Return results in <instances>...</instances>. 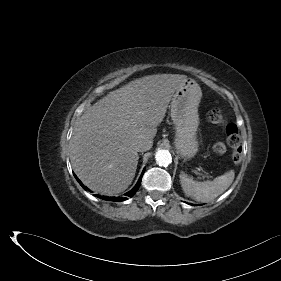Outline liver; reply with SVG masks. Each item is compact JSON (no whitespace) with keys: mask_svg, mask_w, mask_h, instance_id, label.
I'll use <instances>...</instances> for the list:
<instances>
[{"mask_svg":"<svg viewBox=\"0 0 281 281\" xmlns=\"http://www.w3.org/2000/svg\"><path fill=\"white\" fill-rule=\"evenodd\" d=\"M186 79L179 74L148 75L87 108L70 141L72 168L84 185L109 196L128 188L139 159L136 145L140 140L153 144L173 94Z\"/></svg>","mask_w":281,"mask_h":281,"instance_id":"1","label":"liver"}]
</instances>
